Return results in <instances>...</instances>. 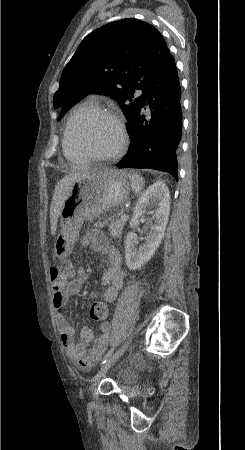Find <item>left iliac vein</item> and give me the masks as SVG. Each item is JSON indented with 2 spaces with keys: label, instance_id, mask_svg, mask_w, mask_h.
<instances>
[{
  "label": "left iliac vein",
  "instance_id": "1",
  "mask_svg": "<svg viewBox=\"0 0 245 450\" xmlns=\"http://www.w3.org/2000/svg\"><path fill=\"white\" fill-rule=\"evenodd\" d=\"M130 341H126L120 348L117 350L112 356L109 357V359L106 361V363L101 367L99 372L94 377V383L92 385V391L96 389V386L100 380L101 377H103L106 372L109 370V368L123 355V353L126 351V349L129 346Z\"/></svg>",
  "mask_w": 245,
  "mask_h": 450
}]
</instances>
